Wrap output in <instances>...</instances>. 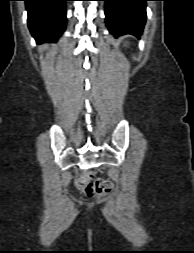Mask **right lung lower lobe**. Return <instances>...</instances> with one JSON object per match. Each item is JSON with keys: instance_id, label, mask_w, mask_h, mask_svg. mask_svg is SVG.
<instances>
[{"instance_id": "1", "label": "right lung lower lobe", "mask_w": 194, "mask_h": 253, "mask_svg": "<svg viewBox=\"0 0 194 253\" xmlns=\"http://www.w3.org/2000/svg\"><path fill=\"white\" fill-rule=\"evenodd\" d=\"M28 11V26L37 42L57 41L66 28V1L22 0Z\"/></svg>"}]
</instances>
